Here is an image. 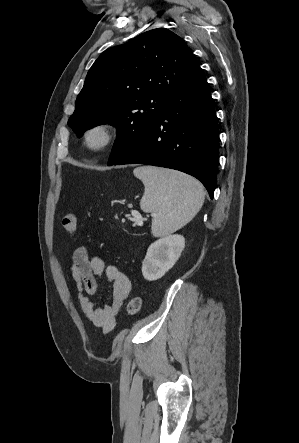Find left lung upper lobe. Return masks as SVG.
Returning a JSON list of instances; mask_svg holds the SVG:
<instances>
[{"mask_svg":"<svg viewBox=\"0 0 299 443\" xmlns=\"http://www.w3.org/2000/svg\"><path fill=\"white\" fill-rule=\"evenodd\" d=\"M199 67L186 43L157 28L111 47L94 62L68 120L80 138L110 123L117 139L109 164L130 150L159 118L175 90Z\"/></svg>","mask_w":299,"mask_h":443,"instance_id":"obj_1","label":"left lung upper lobe"}]
</instances>
